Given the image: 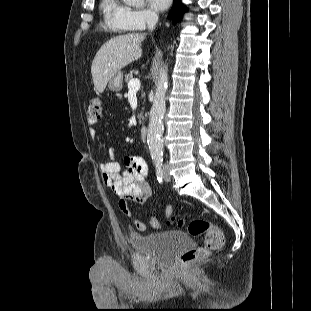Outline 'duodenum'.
<instances>
[{
  "label": "duodenum",
  "instance_id": "410a0bca",
  "mask_svg": "<svg viewBox=\"0 0 311 311\" xmlns=\"http://www.w3.org/2000/svg\"><path fill=\"white\" fill-rule=\"evenodd\" d=\"M148 137V128L146 126H142L140 128V138L142 141H146Z\"/></svg>",
  "mask_w": 311,
  "mask_h": 311
}]
</instances>
